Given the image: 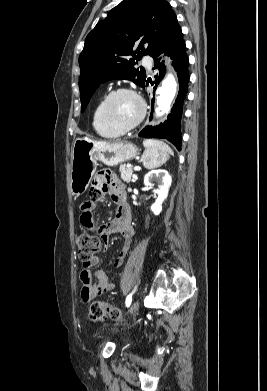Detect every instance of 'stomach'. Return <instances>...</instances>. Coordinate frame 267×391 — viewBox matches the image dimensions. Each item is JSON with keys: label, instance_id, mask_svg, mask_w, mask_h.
Listing matches in <instances>:
<instances>
[{"label": "stomach", "instance_id": "0dacf381", "mask_svg": "<svg viewBox=\"0 0 267 391\" xmlns=\"http://www.w3.org/2000/svg\"><path fill=\"white\" fill-rule=\"evenodd\" d=\"M139 154V148L130 142H102L91 138H77L72 147L71 183L73 196L83 194L95 174L97 162L116 166L132 160Z\"/></svg>", "mask_w": 267, "mask_h": 391}]
</instances>
